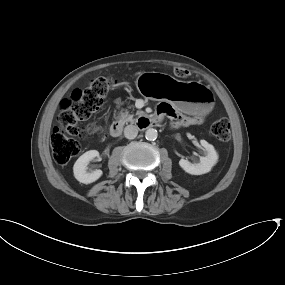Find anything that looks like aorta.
Listing matches in <instances>:
<instances>
[{
	"label": "aorta",
	"mask_w": 285,
	"mask_h": 285,
	"mask_svg": "<svg viewBox=\"0 0 285 285\" xmlns=\"http://www.w3.org/2000/svg\"><path fill=\"white\" fill-rule=\"evenodd\" d=\"M158 137V132L156 129L149 128L145 132V138L149 141H154Z\"/></svg>",
	"instance_id": "obj_1"
}]
</instances>
